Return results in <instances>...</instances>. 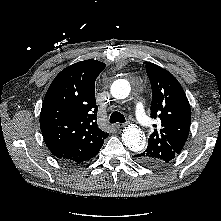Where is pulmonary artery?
I'll return each instance as SVG.
<instances>
[{
    "label": "pulmonary artery",
    "mask_w": 221,
    "mask_h": 221,
    "mask_svg": "<svg viewBox=\"0 0 221 221\" xmlns=\"http://www.w3.org/2000/svg\"><path fill=\"white\" fill-rule=\"evenodd\" d=\"M135 114H136V118L138 120V122L142 125V126H148L149 125V118L147 117L143 105L141 103H138L136 105V109H135Z\"/></svg>",
    "instance_id": "1"
}]
</instances>
